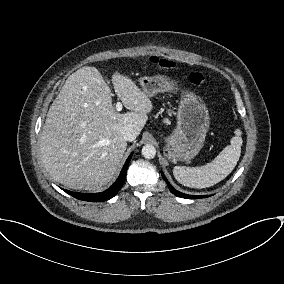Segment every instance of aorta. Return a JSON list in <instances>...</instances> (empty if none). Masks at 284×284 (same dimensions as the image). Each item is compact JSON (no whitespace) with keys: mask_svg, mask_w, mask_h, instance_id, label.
<instances>
[{"mask_svg":"<svg viewBox=\"0 0 284 284\" xmlns=\"http://www.w3.org/2000/svg\"><path fill=\"white\" fill-rule=\"evenodd\" d=\"M156 155V149L151 144H146L142 148V156L146 159H153Z\"/></svg>","mask_w":284,"mask_h":284,"instance_id":"obj_1","label":"aorta"}]
</instances>
